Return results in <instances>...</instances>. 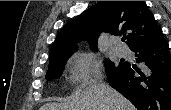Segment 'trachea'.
<instances>
[{"label": "trachea", "mask_w": 171, "mask_h": 110, "mask_svg": "<svg viewBox=\"0 0 171 110\" xmlns=\"http://www.w3.org/2000/svg\"><path fill=\"white\" fill-rule=\"evenodd\" d=\"M125 40H126V38H124V37L121 39L122 42H124Z\"/></svg>", "instance_id": "obj_1"}]
</instances>
